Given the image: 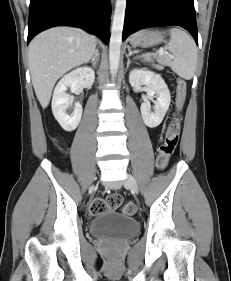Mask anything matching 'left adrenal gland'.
<instances>
[{
  "mask_svg": "<svg viewBox=\"0 0 231 281\" xmlns=\"http://www.w3.org/2000/svg\"><path fill=\"white\" fill-rule=\"evenodd\" d=\"M126 57H127V68H128L129 64L131 63V60H130L129 54H126Z\"/></svg>",
  "mask_w": 231,
  "mask_h": 281,
  "instance_id": "1",
  "label": "left adrenal gland"
}]
</instances>
